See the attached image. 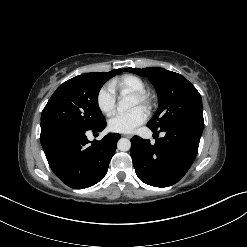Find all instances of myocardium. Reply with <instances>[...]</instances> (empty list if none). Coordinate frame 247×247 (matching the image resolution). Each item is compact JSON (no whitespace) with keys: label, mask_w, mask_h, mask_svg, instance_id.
<instances>
[{"label":"myocardium","mask_w":247,"mask_h":247,"mask_svg":"<svg viewBox=\"0 0 247 247\" xmlns=\"http://www.w3.org/2000/svg\"><path fill=\"white\" fill-rule=\"evenodd\" d=\"M133 98L137 99L139 105L145 110H151L154 104V96L151 92L144 90L132 94Z\"/></svg>","instance_id":"1"}]
</instances>
